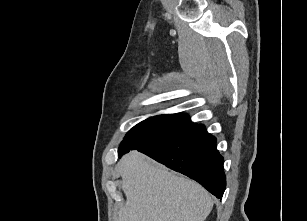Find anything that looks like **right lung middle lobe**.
I'll list each match as a JSON object with an SVG mask.
<instances>
[{"instance_id":"right-lung-middle-lobe-1","label":"right lung middle lobe","mask_w":307,"mask_h":221,"mask_svg":"<svg viewBox=\"0 0 307 221\" xmlns=\"http://www.w3.org/2000/svg\"><path fill=\"white\" fill-rule=\"evenodd\" d=\"M197 124L187 114H168L150 117L134 126L118 149L119 156L138 148H145L170 140L185 133Z\"/></svg>"}]
</instances>
